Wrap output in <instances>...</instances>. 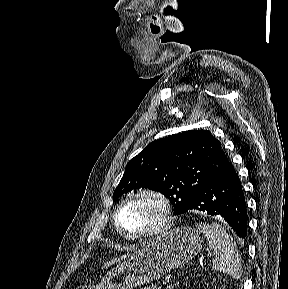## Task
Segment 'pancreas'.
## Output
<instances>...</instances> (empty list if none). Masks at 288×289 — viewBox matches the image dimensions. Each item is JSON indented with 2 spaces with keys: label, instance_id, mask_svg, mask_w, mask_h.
Returning <instances> with one entry per match:
<instances>
[{
  "label": "pancreas",
  "instance_id": "1",
  "mask_svg": "<svg viewBox=\"0 0 288 289\" xmlns=\"http://www.w3.org/2000/svg\"><path fill=\"white\" fill-rule=\"evenodd\" d=\"M144 289H161V286L155 284V285H151L149 287H146Z\"/></svg>",
  "mask_w": 288,
  "mask_h": 289
}]
</instances>
